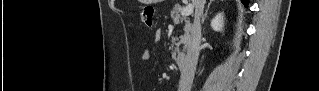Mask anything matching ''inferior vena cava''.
Segmentation results:
<instances>
[{
    "instance_id": "inferior-vena-cava-1",
    "label": "inferior vena cava",
    "mask_w": 319,
    "mask_h": 91,
    "mask_svg": "<svg viewBox=\"0 0 319 91\" xmlns=\"http://www.w3.org/2000/svg\"><path fill=\"white\" fill-rule=\"evenodd\" d=\"M205 2L206 0L195 1V17L187 43V53L181 70L178 91H191L201 42V18L203 17Z\"/></svg>"
}]
</instances>
